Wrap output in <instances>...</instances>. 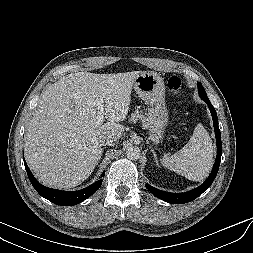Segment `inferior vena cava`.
<instances>
[{
    "label": "inferior vena cava",
    "instance_id": "obj_1",
    "mask_svg": "<svg viewBox=\"0 0 253 253\" xmlns=\"http://www.w3.org/2000/svg\"><path fill=\"white\" fill-rule=\"evenodd\" d=\"M113 144H114V140H113L112 138L104 137V138L101 140V145H102V146H106V145L112 146Z\"/></svg>",
    "mask_w": 253,
    "mask_h": 253
}]
</instances>
